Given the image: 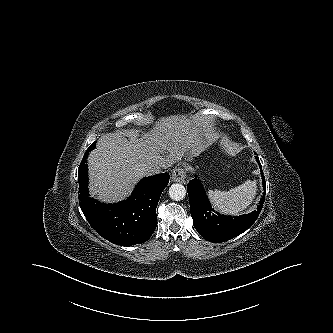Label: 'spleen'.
I'll return each instance as SVG.
<instances>
[{
	"label": "spleen",
	"instance_id": "1",
	"mask_svg": "<svg viewBox=\"0 0 333 333\" xmlns=\"http://www.w3.org/2000/svg\"><path fill=\"white\" fill-rule=\"evenodd\" d=\"M256 192V181L247 180L229 191L215 189L209 190L207 194L216 210L224 214L237 215L252 203Z\"/></svg>",
	"mask_w": 333,
	"mask_h": 333
}]
</instances>
